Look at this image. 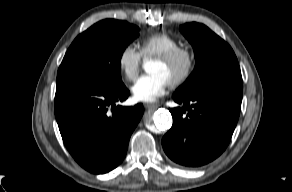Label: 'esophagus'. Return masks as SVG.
<instances>
[{
	"label": "esophagus",
	"instance_id": "obj_1",
	"mask_svg": "<svg viewBox=\"0 0 292 192\" xmlns=\"http://www.w3.org/2000/svg\"><path fill=\"white\" fill-rule=\"evenodd\" d=\"M146 109H156L158 106L156 104L146 103L144 104Z\"/></svg>",
	"mask_w": 292,
	"mask_h": 192
}]
</instances>
